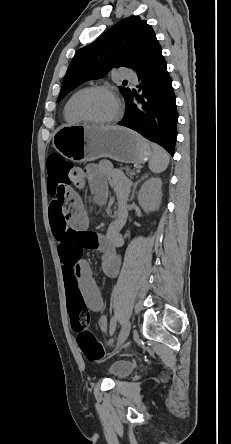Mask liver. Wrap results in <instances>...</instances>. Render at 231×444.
I'll return each instance as SVG.
<instances>
[{"instance_id": "liver-1", "label": "liver", "mask_w": 231, "mask_h": 444, "mask_svg": "<svg viewBox=\"0 0 231 444\" xmlns=\"http://www.w3.org/2000/svg\"><path fill=\"white\" fill-rule=\"evenodd\" d=\"M101 128H104V129H109V128H112V127H101Z\"/></svg>"}]
</instances>
